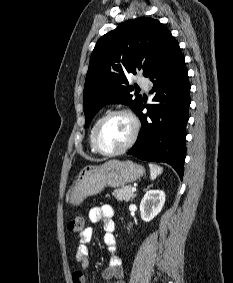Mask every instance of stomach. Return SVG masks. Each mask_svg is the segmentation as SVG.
Listing matches in <instances>:
<instances>
[{"label":"stomach","mask_w":233,"mask_h":283,"mask_svg":"<svg viewBox=\"0 0 233 283\" xmlns=\"http://www.w3.org/2000/svg\"><path fill=\"white\" fill-rule=\"evenodd\" d=\"M144 174L143 166L129 160H110L99 166H86L70 190L68 202L74 206L79 205L85 198L99 194L105 187H123Z\"/></svg>","instance_id":"0dacf381"}]
</instances>
